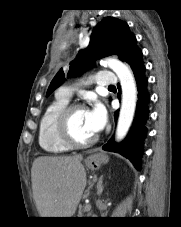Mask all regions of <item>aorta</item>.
Wrapping results in <instances>:
<instances>
[{"mask_svg":"<svg viewBox=\"0 0 181 227\" xmlns=\"http://www.w3.org/2000/svg\"><path fill=\"white\" fill-rule=\"evenodd\" d=\"M106 64L116 73L122 88V105L116 129V140L121 141L133 121L137 101L136 83L128 66L118 59H108Z\"/></svg>","mask_w":181,"mask_h":227,"instance_id":"762f6f07","label":"aorta"}]
</instances>
